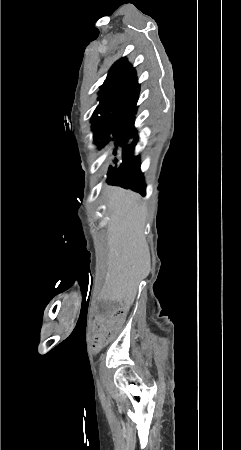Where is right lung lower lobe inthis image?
Masks as SVG:
<instances>
[{
  "label": "right lung lower lobe",
  "mask_w": 241,
  "mask_h": 450,
  "mask_svg": "<svg viewBox=\"0 0 241 450\" xmlns=\"http://www.w3.org/2000/svg\"><path fill=\"white\" fill-rule=\"evenodd\" d=\"M107 182L111 185H119L130 188L141 194H145L143 174L140 170L139 156L133 155V150L127 154L119 168H114L108 173Z\"/></svg>",
  "instance_id": "98d812e1"
}]
</instances>
